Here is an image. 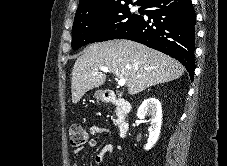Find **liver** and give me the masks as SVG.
Listing matches in <instances>:
<instances>
[{
    "label": "liver",
    "mask_w": 227,
    "mask_h": 166,
    "mask_svg": "<svg viewBox=\"0 0 227 166\" xmlns=\"http://www.w3.org/2000/svg\"><path fill=\"white\" fill-rule=\"evenodd\" d=\"M106 67L116 77L126 80L128 93L134 95L145 89L173 81L184 74V66L159 51L130 40H110L88 46L77 58L72 69V102L105 83Z\"/></svg>",
    "instance_id": "6515ba94"
}]
</instances>
